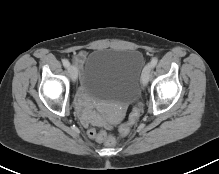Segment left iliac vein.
<instances>
[{
  "label": "left iliac vein",
  "mask_w": 219,
  "mask_h": 174,
  "mask_svg": "<svg viewBox=\"0 0 219 174\" xmlns=\"http://www.w3.org/2000/svg\"><path fill=\"white\" fill-rule=\"evenodd\" d=\"M151 72H152V66L151 64H147L142 72L141 75V83L143 86H146V84L148 83L150 76H151Z\"/></svg>",
  "instance_id": "1"
}]
</instances>
